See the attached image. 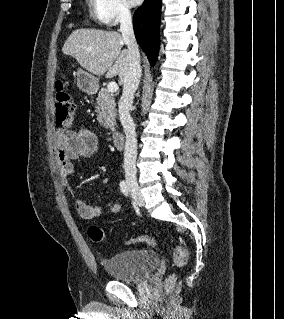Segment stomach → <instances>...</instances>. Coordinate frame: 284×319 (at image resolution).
I'll return each instance as SVG.
<instances>
[{
  "instance_id": "obj_1",
  "label": "stomach",
  "mask_w": 284,
  "mask_h": 319,
  "mask_svg": "<svg viewBox=\"0 0 284 319\" xmlns=\"http://www.w3.org/2000/svg\"><path fill=\"white\" fill-rule=\"evenodd\" d=\"M77 86L84 93H94L98 88V80L93 75L83 71H77Z\"/></svg>"
}]
</instances>
